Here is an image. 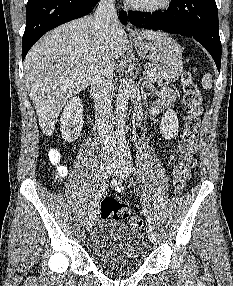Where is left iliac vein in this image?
<instances>
[{
  "mask_svg": "<svg viewBox=\"0 0 233 286\" xmlns=\"http://www.w3.org/2000/svg\"><path fill=\"white\" fill-rule=\"evenodd\" d=\"M112 173L116 178H118L120 180H124L128 175L127 166L123 160V156L120 153H117V155L115 157ZM147 235H148V238L151 242L154 243L156 241V239H157L156 230H155V227L151 224L148 225Z\"/></svg>",
  "mask_w": 233,
  "mask_h": 286,
  "instance_id": "1",
  "label": "left iliac vein"
}]
</instances>
